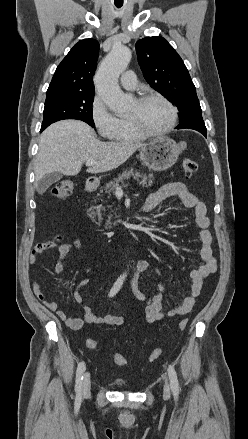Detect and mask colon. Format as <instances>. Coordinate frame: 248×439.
Segmentation results:
<instances>
[{"label":"colon","mask_w":248,"mask_h":439,"mask_svg":"<svg viewBox=\"0 0 248 439\" xmlns=\"http://www.w3.org/2000/svg\"><path fill=\"white\" fill-rule=\"evenodd\" d=\"M182 165L186 177H191L198 169L197 162L189 158L185 159ZM73 189H74L73 181L70 179H64L56 185V187L53 190V193L58 198L63 199L71 195ZM187 324H188V319L186 318L182 319L178 324V329L184 330ZM87 346L89 349L94 351L99 349L98 343L91 339L87 341ZM162 352H163L162 348L154 349L150 353L148 357V361L153 362L157 360L162 355ZM109 358L118 366H126L128 364V360L123 355L116 352H111L109 354Z\"/></svg>","instance_id":"1"}]
</instances>
